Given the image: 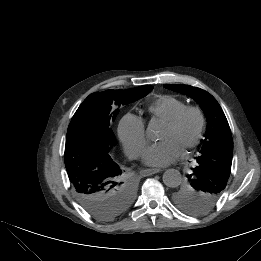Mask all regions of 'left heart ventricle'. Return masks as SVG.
<instances>
[{
    "label": "left heart ventricle",
    "mask_w": 261,
    "mask_h": 261,
    "mask_svg": "<svg viewBox=\"0 0 261 261\" xmlns=\"http://www.w3.org/2000/svg\"><path fill=\"white\" fill-rule=\"evenodd\" d=\"M198 120L194 114H189L178 127L165 125L160 139L172 138L183 148L194 136Z\"/></svg>",
    "instance_id": "b2bd125f"
}]
</instances>
